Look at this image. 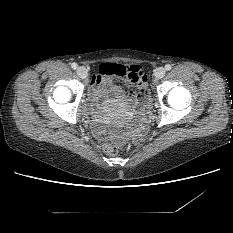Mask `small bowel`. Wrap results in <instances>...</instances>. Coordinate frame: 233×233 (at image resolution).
Returning <instances> with one entry per match:
<instances>
[{"label":"small bowel","instance_id":"small-bowel-1","mask_svg":"<svg viewBox=\"0 0 233 233\" xmlns=\"http://www.w3.org/2000/svg\"><path fill=\"white\" fill-rule=\"evenodd\" d=\"M125 71V76L119 74V70ZM119 77L121 80L130 81L137 78L138 94H126L122 88L113 83L112 79ZM147 74L145 70L138 64L123 65L119 63L100 62L98 73L94 76L89 91L87 107L93 110L95 105L106 106L104 99L111 98L110 104L118 103L132 108L135 112H140L146 101V93L148 92ZM104 120L97 118L91 125L92 132L100 139L106 140L109 134L104 127ZM133 135H138L139 132L132 131Z\"/></svg>","mask_w":233,"mask_h":233}]
</instances>
